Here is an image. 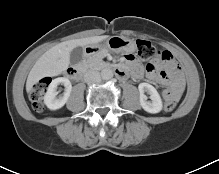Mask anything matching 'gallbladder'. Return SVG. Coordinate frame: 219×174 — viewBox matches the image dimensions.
Segmentation results:
<instances>
[{"instance_id":"bac80fb5","label":"gallbladder","mask_w":219,"mask_h":174,"mask_svg":"<svg viewBox=\"0 0 219 174\" xmlns=\"http://www.w3.org/2000/svg\"><path fill=\"white\" fill-rule=\"evenodd\" d=\"M84 51L81 47H76L70 52V63L76 65L83 59Z\"/></svg>"}]
</instances>
